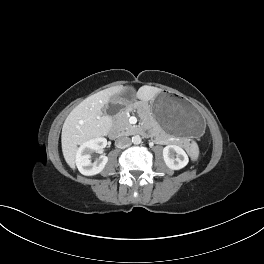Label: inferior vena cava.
Returning <instances> with one entry per match:
<instances>
[{"mask_svg":"<svg viewBox=\"0 0 264 264\" xmlns=\"http://www.w3.org/2000/svg\"><path fill=\"white\" fill-rule=\"evenodd\" d=\"M115 145L116 147L123 149L131 145V140L127 136H121L117 138V140L115 141Z\"/></svg>","mask_w":264,"mask_h":264,"instance_id":"602c4592","label":"inferior vena cava"}]
</instances>
